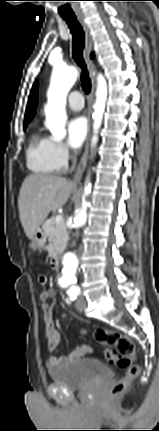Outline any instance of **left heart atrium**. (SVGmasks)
<instances>
[{"mask_svg":"<svg viewBox=\"0 0 159 431\" xmlns=\"http://www.w3.org/2000/svg\"><path fill=\"white\" fill-rule=\"evenodd\" d=\"M87 120L83 116H77L69 121L67 126L68 143L73 148H79L87 135Z\"/></svg>","mask_w":159,"mask_h":431,"instance_id":"obj_1","label":"left heart atrium"}]
</instances>
